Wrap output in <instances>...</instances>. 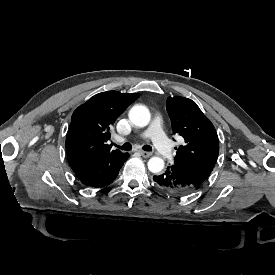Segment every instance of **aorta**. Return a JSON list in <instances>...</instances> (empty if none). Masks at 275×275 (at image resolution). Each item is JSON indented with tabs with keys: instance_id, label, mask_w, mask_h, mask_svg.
<instances>
[{
	"instance_id": "aorta-1",
	"label": "aorta",
	"mask_w": 275,
	"mask_h": 275,
	"mask_svg": "<svg viewBox=\"0 0 275 275\" xmlns=\"http://www.w3.org/2000/svg\"><path fill=\"white\" fill-rule=\"evenodd\" d=\"M130 121L137 127H145L149 124L151 115L149 109L140 104L134 105L129 111ZM164 168V161L160 157H151L148 161V169L152 173H159Z\"/></svg>"
}]
</instances>
